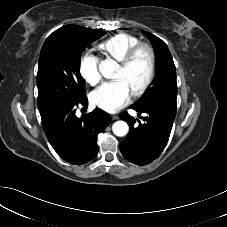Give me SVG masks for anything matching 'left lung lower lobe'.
Segmentation results:
<instances>
[{
    "label": "left lung lower lobe",
    "instance_id": "obj_1",
    "mask_svg": "<svg viewBox=\"0 0 227 227\" xmlns=\"http://www.w3.org/2000/svg\"><path fill=\"white\" fill-rule=\"evenodd\" d=\"M134 110L138 112V118L127 112L119 115L130 127L126 139L120 144V151L131 163L146 165L154 161L165 148L176 110L160 105Z\"/></svg>",
    "mask_w": 227,
    "mask_h": 227
}]
</instances>
